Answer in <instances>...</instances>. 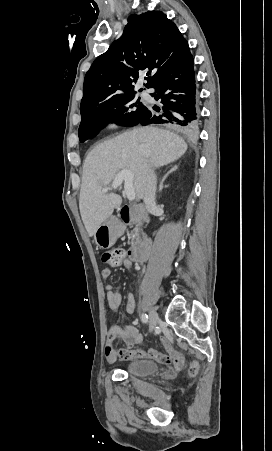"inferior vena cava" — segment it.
<instances>
[{
  "label": "inferior vena cava",
  "instance_id": "602c4592",
  "mask_svg": "<svg viewBox=\"0 0 272 451\" xmlns=\"http://www.w3.org/2000/svg\"><path fill=\"white\" fill-rule=\"evenodd\" d=\"M156 174L149 166V170L147 172V180H146V188L143 196L144 204H146L147 212H151L153 208L156 206L155 196H156Z\"/></svg>",
  "mask_w": 272,
  "mask_h": 451
}]
</instances>
